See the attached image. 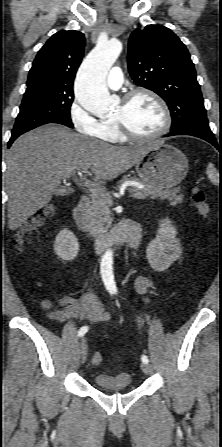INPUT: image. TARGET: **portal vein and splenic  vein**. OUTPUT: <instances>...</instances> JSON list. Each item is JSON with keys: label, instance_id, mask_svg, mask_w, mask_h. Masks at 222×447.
I'll return each instance as SVG.
<instances>
[{"label": "portal vein and splenic vein", "instance_id": "1", "mask_svg": "<svg viewBox=\"0 0 222 447\" xmlns=\"http://www.w3.org/2000/svg\"><path fill=\"white\" fill-rule=\"evenodd\" d=\"M84 185L89 189L91 194L94 195V196H104L105 194H107V195L109 194V193H106V191H104L103 189L99 188L96 184L91 183L90 181H85ZM125 185L126 186H133V187H135L137 189H143L144 188L143 185H141L138 182H134V181H127ZM131 197H135L136 198V195L132 194Z\"/></svg>", "mask_w": 222, "mask_h": 447}]
</instances>
